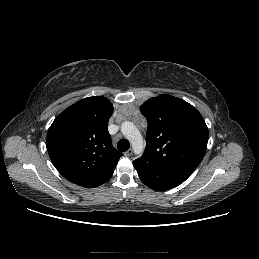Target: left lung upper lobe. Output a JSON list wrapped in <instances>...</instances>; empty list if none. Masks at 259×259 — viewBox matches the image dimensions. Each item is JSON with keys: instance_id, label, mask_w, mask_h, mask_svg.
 I'll return each instance as SVG.
<instances>
[{"instance_id": "left-lung-upper-lobe-1", "label": "left lung upper lobe", "mask_w": 259, "mask_h": 259, "mask_svg": "<svg viewBox=\"0 0 259 259\" xmlns=\"http://www.w3.org/2000/svg\"><path fill=\"white\" fill-rule=\"evenodd\" d=\"M140 111L148 128L146 149L138 159L190 176L207 149L208 128L201 114L186 101L167 94L150 98Z\"/></svg>"}]
</instances>
